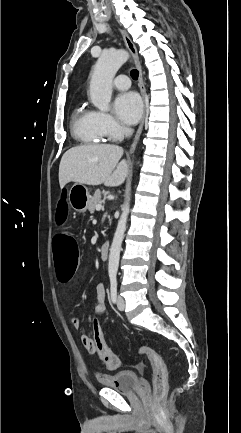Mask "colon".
<instances>
[{
    "label": "colon",
    "mask_w": 241,
    "mask_h": 433,
    "mask_svg": "<svg viewBox=\"0 0 241 433\" xmlns=\"http://www.w3.org/2000/svg\"><path fill=\"white\" fill-rule=\"evenodd\" d=\"M61 200L56 201L57 223L63 225L69 213V201L64 200L66 195H59ZM73 230H54L51 238L52 256L54 257L56 275L61 283H68L74 276L77 268L78 247ZM93 341L87 343L89 350H93L102 359L106 367L114 370L119 366L118 357L110 350L105 342L101 324L98 319H93ZM139 355L145 356L151 362L153 368V396L155 404L165 395L168 386L167 366L162 356L149 346H142Z\"/></svg>",
    "instance_id": "obj_1"
}]
</instances>
